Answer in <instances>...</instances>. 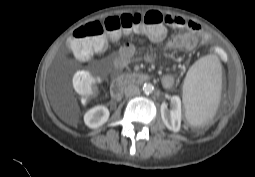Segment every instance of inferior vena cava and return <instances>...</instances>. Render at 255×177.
<instances>
[{
    "mask_svg": "<svg viewBox=\"0 0 255 177\" xmlns=\"http://www.w3.org/2000/svg\"><path fill=\"white\" fill-rule=\"evenodd\" d=\"M140 93L139 87L136 85H128L125 88V95L126 96H133L138 95Z\"/></svg>",
    "mask_w": 255,
    "mask_h": 177,
    "instance_id": "1",
    "label": "inferior vena cava"
}]
</instances>
